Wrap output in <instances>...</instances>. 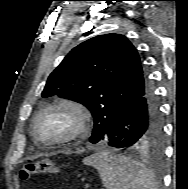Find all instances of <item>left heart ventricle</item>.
Here are the masks:
<instances>
[{
  "instance_id": "1",
  "label": "left heart ventricle",
  "mask_w": 188,
  "mask_h": 189,
  "mask_svg": "<svg viewBox=\"0 0 188 189\" xmlns=\"http://www.w3.org/2000/svg\"><path fill=\"white\" fill-rule=\"evenodd\" d=\"M73 126L72 116L67 111L55 110L43 115L37 125L41 139H54L65 135Z\"/></svg>"
}]
</instances>
